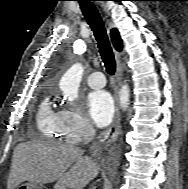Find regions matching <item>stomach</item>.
Returning <instances> with one entry per match:
<instances>
[{"label":"stomach","mask_w":188,"mask_h":189,"mask_svg":"<svg viewBox=\"0 0 188 189\" xmlns=\"http://www.w3.org/2000/svg\"><path fill=\"white\" fill-rule=\"evenodd\" d=\"M17 189H41V188L37 184L29 182L19 185Z\"/></svg>","instance_id":"1"}]
</instances>
